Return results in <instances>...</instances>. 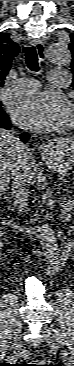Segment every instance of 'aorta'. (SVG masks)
<instances>
[{
    "label": "aorta",
    "instance_id": "aorta-1",
    "mask_svg": "<svg viewBox=\"0 0 74 366\" xmlns=\"http://www.w3.org/2000/svg\"><path fill=\"white\" fill-rule=\"evenodd\" d=\"M47 61L59 68L68 66L71 62V52L65 43H50L46 50ZM40 243L45 248L50 261L58 258V245L55 233L49 224H44L39 229Z\"/></svg>",
    "mask_w": 74,
    "mask_h": 366
}]
</instances>
